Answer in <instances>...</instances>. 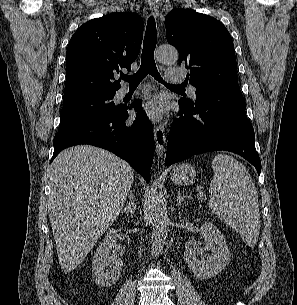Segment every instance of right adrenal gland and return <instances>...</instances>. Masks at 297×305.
<instances>
[{
    "label": "right adrenal gland",
    "mask_w": 297,
    "mask_h": 305,
    "mask_svg": "<svg viewBox=\"0 0 297 305\" xmlns=\"http://www.w3.org/2000/svg\"><path fill=\"white\" fill-rule=\"evenodd\" d=\"M128 204L127 206L124 207V209L122 210L123 213H130V214H134L135 210H136V204L134 202V195L132 193V191H130V195L128 196Z\"/></svg>",
    "instance_id": "right-adrenal-gland-1"
}]
</instances>
